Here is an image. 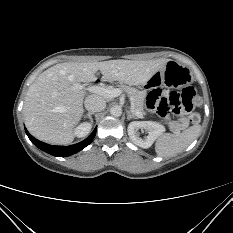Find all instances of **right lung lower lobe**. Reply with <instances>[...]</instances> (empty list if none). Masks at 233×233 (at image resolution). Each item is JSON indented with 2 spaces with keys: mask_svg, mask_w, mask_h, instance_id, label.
Returning <instances> with one entry per match:
<instances>
[{
  "mask_svg": "<svg viewBox=\"0 0 233 233\" xmlns=\"http://www.w3.org/2000/svg\"><path fill=\"white\" fill-rule=\"evenodd\" d=\"M25 131L29 139L31 140V142L34 145H36L39 149L53 156H58V157L70 156L82 150L83 148H85L87 145H89L92 142L96 134V128H95L94 131L91 133V135L80 143H77L71 146H53V145H49V144H46L44 142H41L35 139L33 136L29 134V132L26 129Z\"/></svg>",
  "mask_w": 233,
  "mask_h": 233,
  "instance_id": "1",
  "label": "right lung lower lobe"
}]
</instances>
